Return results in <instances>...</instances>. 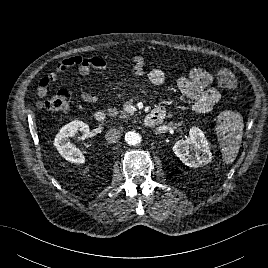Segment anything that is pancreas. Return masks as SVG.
I'll list each match as a JSON object with an SVG mask.
<instances>
[{"mask_svg": "<svg viewBox=\"0 0 268 268\" xmlns=\"http://www.w3.org/2000/svg\"><path fill=\"white\" fill-rule=\"evenodd\" d=\"M108 115L111 116V117H120V118H127L129 116L128 113L124 112V111H121L119 113V110L117 108H109L108 110Z\"/></svg>", "mask_w": 268, "mask_h": 268, "instance_id": "pancreas-1", "label": "pancreas"}]
</instances>
